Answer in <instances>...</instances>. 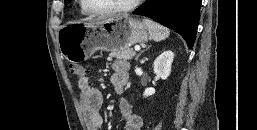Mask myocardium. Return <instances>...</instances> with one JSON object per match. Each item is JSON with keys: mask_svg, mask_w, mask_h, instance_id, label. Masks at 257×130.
Listing matches in <instances>:
<instances>
[{"mask_svg": "<svg viewBox=\"0 0 257 130\" xmlns=\"http://www.w3.org/2000/svg\"><path fill=\"white\" fill-rule=\"evenodd\" d=\"M142 0H132L128 4L116 8H111L107 10H95L90 7L87 0H81L82 6L85 9V11L93 16H107V15H113V14H120V13H126L129 11H132L135 9Z\"/></svg>", "mask_w": 257, "mask_h": 130, "instance_id": "obj_1", "label": "myocardium"}]
</instances>
